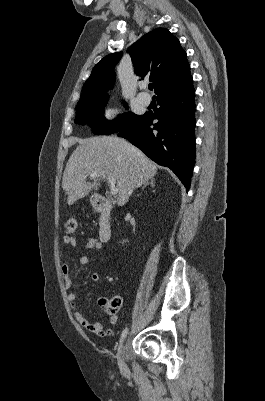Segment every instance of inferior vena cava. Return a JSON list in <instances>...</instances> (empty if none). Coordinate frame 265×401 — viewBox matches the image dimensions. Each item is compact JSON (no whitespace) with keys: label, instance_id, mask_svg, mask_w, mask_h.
I'll return each mask as SVG.
<instances>
[{"label":"inferior vena cava","instance_id":"1","mask_svg":"<svg viewBox=\"0 0 265 401\" xmlns=\"http://www.w3.org/2000/svg\"><path fill=\"white\" fill-rule=\"evenodd\" d=\"M131 190H129L128 194H130Z\"/></svg>","mask_w":265,"mask_h":401}]
</instances>
